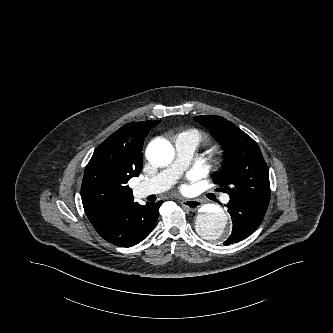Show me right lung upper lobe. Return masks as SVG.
I'll return each mask as SVG.
<instances>
[{"label":"right lung upper lobe","mask_w":333,"mask_h":333,"mask_svg":"<svg viewBox=\"0 0 333 333\" xmlns=\"http://www.w3.org/2000/svg\"><path fill=\"white\" fill-rule=\"evenodd\" d=\"M154 122L129 123L95 150L85 168L81 186L83 207L92 225L133 199L127 182L139 176L144 139Z\"/></svg>","instance_id":"obj_1"}]
</instances>
